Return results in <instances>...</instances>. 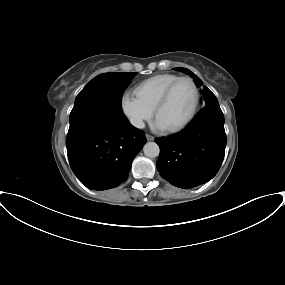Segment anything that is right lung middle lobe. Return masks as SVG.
<instances>
[{
  "instance_id": "right-lung-middle-lobe-1",
  "label": "right lung middle lobe",
  "mask_w": 285,
  "mask_h": 285,
  "mask_svg": "<svg viewBox=\"0 0 285 285\" xmlns=\"http://www.w3.org/2000/svg\"><path fill=\"white\" fill-rule=\"evenodd\" d=\"M134 72H110L93 78L77 95L69 121L92 111L123 117L121 98Z\"/></svg>"
}]
</instances>
